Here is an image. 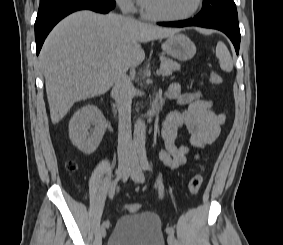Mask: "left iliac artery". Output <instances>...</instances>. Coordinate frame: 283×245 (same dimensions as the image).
<instances>
[{
  "label": "left iliac artery",
  "mask_w": 283,
  "mask_h": 245,
  "mask_svg": "<svg viewBox=\"0 0 283 245\" xmlns=\"http://www.w3.org/2000/svg\"><path fill=\"white\" fill-rule=\"evenodd\" d=\"M138 154H139L141 167L144 170H151V167H150L148 159H147L146 150L144 148H142V149L139 150ZM157 183H158L159 196H160V198H162L163 194H164V186H163V183H162V178L160 176L157 178ZM166 232L168 234H174L175 231H174L173 227H167Z\"/></svg>",
  "instance_id": "left-iliac-artery-1"
}]
</instances>
